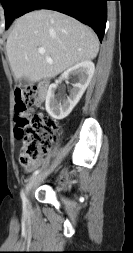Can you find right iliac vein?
I'll use <instances>...</instances> for the list:
<instances>
[{
    "label": "right iliac vein",
    "mask_w": 133,
    "mask_h": 253,
    "mask_svg": "<svg viewBox=\"0 0 133 253\" xmlns=\"http://www.w3.org/2000/svg\"><path fill=\"white\" fill-rule=\"evenodd\" d=\"M51 171H52V169L47 170L46 172H44V173H42V174H40V175L35 176V177L32 178V179L30 180V182L27 184L26 190H25L26 199H27V206H29V194H30L31 190H32L41 180H43L48 174H50Z\"/></svg>",
    "instance_id": "63e3f726"
}]
</instances>
